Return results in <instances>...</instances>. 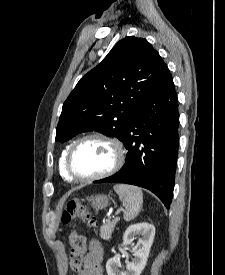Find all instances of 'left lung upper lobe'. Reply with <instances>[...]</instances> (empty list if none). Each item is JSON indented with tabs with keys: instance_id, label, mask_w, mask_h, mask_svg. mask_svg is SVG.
<instances>
[{
	"instance_id": "obj_1",
	"label": "left lung upper lobe",
	"mask_w": 225,
	"mask_h": 275,
	"mask_svg": "<svg viewBox=\"0 0 225 275\" xmlns=\"http://www.w3.org/2000/svg\"><path fill=\"white\" fill-rule=\"evenodd\" d=\"M169 74L147 40L133 36L120 40L64 102L55 140L98 131L122 141L137 112Z\"/></svg>"
}]
</instances>
